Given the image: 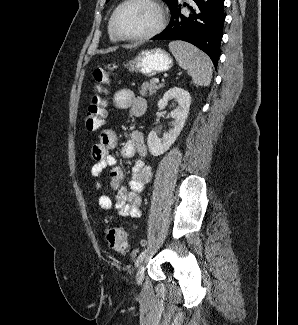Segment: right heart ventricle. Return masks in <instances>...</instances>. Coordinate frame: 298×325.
Here are the masks:
<instances>
[{
    "mask_svg": "<svg viewBox=\"0 0 298 325\" xmlns=\"http://www.w3.org/2000/svg\"><path fill=\"white\" fill-rule=\"evenodd\" d=\"M110 22H111V18L109 19V22H108V36H109V39L113 43H118L117 39L113 36V34L111 32Z\"/></svg>",
    "mask_w": 298,
    "mask_h": 325,
    "instance_id": "obj_1",
    "label": "right heart ventricle"
}]
</instances>
